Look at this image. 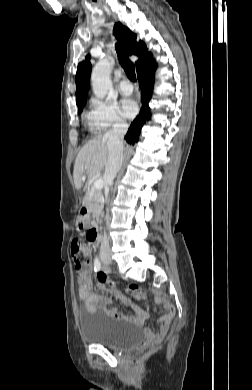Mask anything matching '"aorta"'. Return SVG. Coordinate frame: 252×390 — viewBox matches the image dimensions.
<instances>
[{"mask_svg": "<svg viewBox=\"0 0 252 390\" xmlns=\"http://www.w3.org/2000/svg\"><path fill=\"white\" fill-rule=\"evenodd\" d=\"M111 64L107 59L99 61L91 74L93 93L97 98L103 99L112 87Z\"/></svg>", "mask_w": 252, "mask_h": 390, "instance_id": "obj_1", "label": "aorta"}]
</instances>
